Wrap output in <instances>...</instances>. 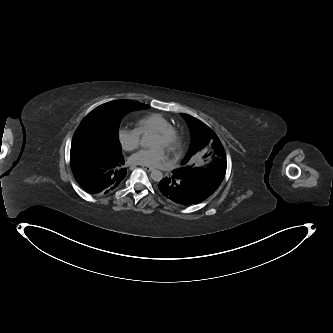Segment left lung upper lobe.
Returning <instances> with one entry per match:
<instances>
[{
	"mask_svg": "<svg viewBox=\"0 0 333 333\" xmlns=\"http://www.w3.org/2000/svg\"><path fill=\"white\" fill-rule=\"evenodd\" d=\"M181 115L190 127L192 140L190 149L182 161L183 166L174 171L181 176L196 181L207 188L211 193H214L226 173V157L223 146L216 134L203 122L188 114L182 113ZM206 147H210L213 156V161L210 164L199 168H193V165H187L192 156Z\"/></svg>",
	"mask_w": 333,
	"mask_h": 333,
	"instance_id": "5c2ea615",
	"label": "left lung upper lobe"
}]
</instances>
